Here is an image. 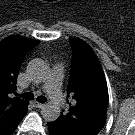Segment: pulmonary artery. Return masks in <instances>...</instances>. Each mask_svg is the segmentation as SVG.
I'll return each mask as SVG.
<instances>
[{
    "instance_id": "pulmonary-artery-1",
    "label": "pulmonary artery",
    "mask_w": 135,
    "mask_h": 135,
    "mask_svg": "<svg viewBox=\"0 0 135 135\" xmlns=\"http://www.w3.org/2000/svg\"><path fill=\"white\" fill-rule=\"evenodd\" d=\"M64 68L62 64H56L52 70V73L43 88L49 94L53 105L56 107L64 106L65 102L61 94V82L63 79Z\"/></svg>"
}]
</instances>
